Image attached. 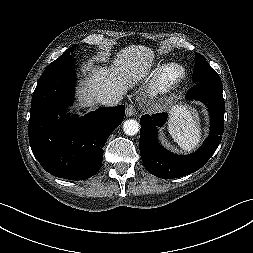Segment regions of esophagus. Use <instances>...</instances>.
Instances as JSON below:
<instances>
[{
	"instance_id": "1",
	"label": "esophagus",
	"mask_w": 253,
	"mask_h": 253,
	"mask_svg": "<svg viewBox=\"0 0 253 253\" xmlns=\"http://www.w3.org/2000/svg\"><path fill=\"white\" fill-rule=\"evenodd\" d=\"M135 113V106L133 104H129L126 107L125 115L126 117H132Z\"/></svg>"
}]
</instances>
